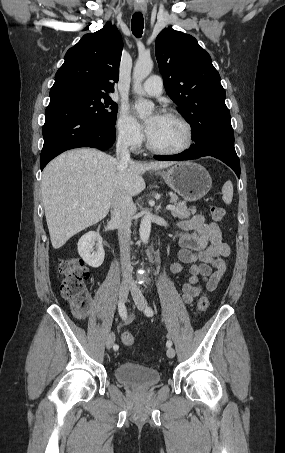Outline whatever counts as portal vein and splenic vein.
<instances>
[{"mask_svg":"<svg viewBox=\"0 0 285 453\" xmlns=\"http://www.w3.org/2000/svg\"><path fill=\"white\" fill-rule=\"evenodd\" d=\"M166 209L167 210H173V209H175V206L172 205V204H169V205L166 206Z\"/></svg>","mask_w":285,"mask_h":453,"instance_id":"portal-vein-and-splenic-vein-1","label":"portal vein and splenic vein"}]
</instances>
